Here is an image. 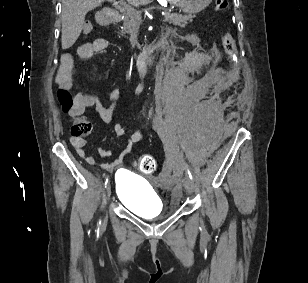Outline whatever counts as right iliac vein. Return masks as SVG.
I'll list each match as a JSON object with an SVG mask.
<instances>
[{
	"label": "right iliac vein",
	"instance_id": "obj_1",
	"mask_svg": "<svg viewBox=\"0 0 308 283\" xmlns=\"http://www.w3.org/2000/svg\"><path fill=\"white\" fill-rule=\"evenodd\" d=\"M105 192H106L107 198H109L110 195H111V186H110V183H108Z\"/></svg>",
	"mask_w": 308,
	"mask_h": 283
}]
</instances>
